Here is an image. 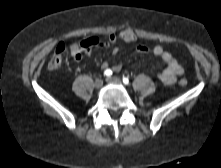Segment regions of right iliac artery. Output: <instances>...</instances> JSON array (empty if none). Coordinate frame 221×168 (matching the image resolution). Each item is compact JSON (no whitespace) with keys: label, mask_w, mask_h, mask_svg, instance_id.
<instances>
[{"label":"right iliac artery","mask_w":221,"mask_h":168,"mask_svg":"<svg viewBox=\"0 0 221 168\" xmlns=\"http://www.w3.org/2000/svg\"><path fill=\"white\" fill-rule=\"evenodd\" d=\"M104 75L110 77L112 75V71L110 69L105 70Z\"/></svg>","instance_id":"obj_1"}]
</instances>
